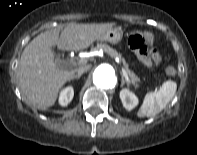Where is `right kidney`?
<instances>
[{
    "instance_id": "ca27d5eb",
    "label": "right kidney",
    "mask_w": 197,
    "mask_h": 155,
    "mask_svg": "<svg viewBox=\"0 0 197 155\" xmlns=\"http://www.w3.org/2000/svg\"><path fill=\"white\" fill-rule=\"evenodd\" d=\"M73 96H74V89H73V87L68 86V87L64 88L60 92L59 104L61 106H67L68 103H70L71 100L73 99Z\"/></svg>"
}]
</instances>
